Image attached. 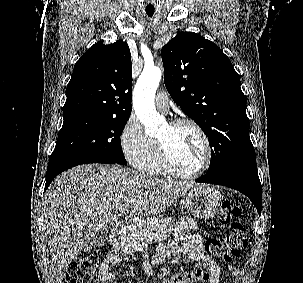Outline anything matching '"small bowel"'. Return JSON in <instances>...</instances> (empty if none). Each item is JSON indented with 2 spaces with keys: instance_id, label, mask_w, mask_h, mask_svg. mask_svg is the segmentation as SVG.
Listing matches in <instances>:
<instances>
[{
  "instance_id": "c3829d8e",
  "label": "small bowel",
  "mask_w": 303,
  "mask_h": 283,
  "mask_svg": "<svg viewBox=\"0 0 303 283\" xmlns=\"http://www.w3.org/2000/svg\"><path fill=\"white\" fill-rule=\"evenodd\" d=\"M195 230L196 223L192 219L188 217L181 218L176 226L175 241L160 246L154 257V262H162L167 258L178 255H188L203 271V276L200 278L203 283H220V266L213 257L205 254L201 236ZM120 261L121 259L115 255L106 257L98 269V280L100 283H110L114 280V275L110 272V268ZM228 269L230 277L226 282L222 283H233L239 276V271L235 266H229ZM176 278L177 276L169 277L163 283H175Z\"/></svg>"
}]
</instances>
